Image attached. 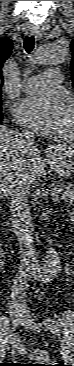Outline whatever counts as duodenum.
<instances>
[{
    "label": "duodenum",
    "instance_id": "1",
    "mask_svg": "<svg viewBox=\"0 0 74 366\" xmlns=\"http://www.w3.org/2000/svg\"><path fill=\"white\" fill-rule=\"evenodd\" d=\"M38 277L40 278V279H43V278H45L46 277V275H42L41 273L38 275Z\"/></svg>",
    "mask_w": 74,
    "mask_h": 366
}]
</instances>
